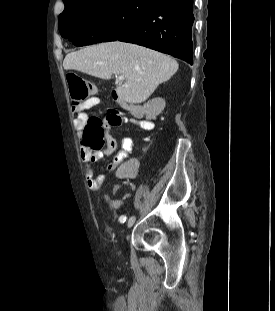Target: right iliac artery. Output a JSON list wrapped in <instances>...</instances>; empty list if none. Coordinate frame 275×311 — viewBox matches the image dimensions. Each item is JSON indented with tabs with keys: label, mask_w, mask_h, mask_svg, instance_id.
Wrapping results in <instances>:
<instances>
[{
	"label": "right iliac artery",
	"mask_w": 275,
	"mask_h": 311,
	"mask_svg": "<svg viewBox=\"0 0 275 311\" xmlns=\"http://www.w3.org/2000/svg\"><path fill=\"white\" fill-rule=\"evenodd\" d=\"M119 221L121 223H124L126 221V216L125 215L120 216Z\"/></svg>",
	"instance_id": "1"
}]
</instances>
